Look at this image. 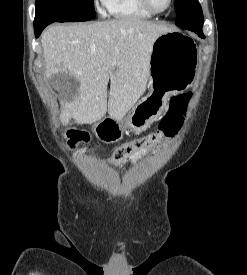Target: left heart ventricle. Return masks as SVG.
<instances>
[{
	"mask_svg": "<svg viewBox=\"0 0 247 275\" xmlns=\"http://www.w3.org/2000/svg\"><path fill=\"white\" fill-rule=\"evenodd\" d=\"M153 7L157 10H164L168 7L169 0H150Z\"/></svg>",
	"mask_w": 247,
	"mask_h": 275,
	"instance_id": "b2bd125f",
	"label": "left heart ventricle"
}]
</instances>
